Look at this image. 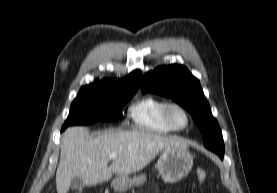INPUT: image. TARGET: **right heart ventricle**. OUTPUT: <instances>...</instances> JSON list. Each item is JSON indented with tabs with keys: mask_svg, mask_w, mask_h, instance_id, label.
Masks as SVG:
<instances>
[{
	"mask_svg": "<svg viewBox=\"0 0 277 193\" xmlns=\"http://www.w3.org/2000/svg\"><path fill=\"white\" fill-rule=\"evenodd\" d=\"M168 102L155 96H146L129 107V116L137 130L150 134L173 132L164 120V110Z\"/></svg>",
	"mask_w": 277,
	"mask_h": 193,
	"instance_id": "right-heart-ventricle-1",
	"label": "right heart ventricle"
}]
</instances>
